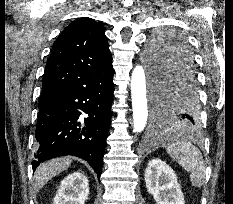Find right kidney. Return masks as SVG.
Returning <instances> with one entry per match:
<instances>
[{
  "mask_svg": "<svg viewBox=\"0 0 233 204\" xmlns=\"http://www.w3.org/2000/svg\"><path fill=\"white\" fill-rule=\"evenodd\" d=\"M88 195L87 177L81 172H74L61 181L54 204H85Z\"/></svg>",
  "mask_w": 233,
  "mask_h": 204,
  "instance_id": "right-kidney-1",
  "label": "right kidney"
}]
</instances>
